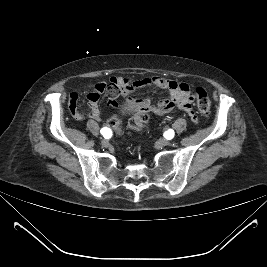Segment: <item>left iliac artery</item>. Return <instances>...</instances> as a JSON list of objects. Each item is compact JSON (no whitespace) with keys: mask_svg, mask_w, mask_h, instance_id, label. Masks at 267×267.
<instances>
[{"mask_svg":"<svg viewBox=\"0 0 267 267\" xmlns=\"http://www.w3.org/2000/svg\"><path fill=\"white\" fill-rule=\"evenodd\" d=\"M174 137V131L172 129H169L167 132H166V138L168 139H171Z\"/></svg>","mask_w":267,"mask_h":267,"instance_id":"obj_1","label":"left iliac artery"}]
</instances>
